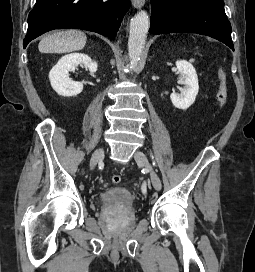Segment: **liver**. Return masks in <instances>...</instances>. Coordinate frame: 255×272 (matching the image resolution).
<instances>
[{"instance_id":"liver-1","label":"liver","mask_w":255,"mask_h":272,"mask_svg":"<svg viewBox=\"0 0 255 272\" xmlns=\"http://www.w3.org/2000/svg\"><path fill=\"white\" fill-rule=\"evenodd\" d=\"M86 41L87 37L81 31H60L42 38L38 49L41 53H66L83 49Z\"/></svg>"}]
</instances>
